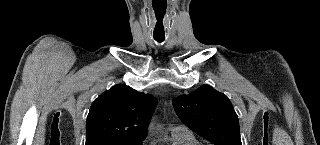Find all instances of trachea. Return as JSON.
I'll return each instance as SVG.
<instances>
[{
    "label": "trachea",
    "instance_id": "trachea-1",
    "mask_svg": "<svg viewBox=\"0 0 320 145\" xmlns=\"http://www.w3.org/2000/svg\"><path fill=\"white\" fill-rule=\"evenodd\" d=\"M154 39H155L157 42H159V43H161V42L164 41V37H155V36H154Z\"/></svg>",
    "mask_w": 320,
    "mask_h": 145
}]
</instances>
